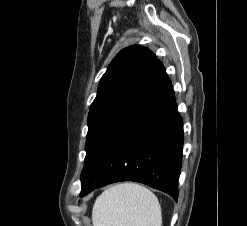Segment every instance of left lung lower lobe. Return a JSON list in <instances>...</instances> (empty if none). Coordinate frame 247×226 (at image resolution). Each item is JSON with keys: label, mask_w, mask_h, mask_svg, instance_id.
Segmentation results:
<instances>
[{"label": "left lung lower lobe", "mask_w": 247, "mask_h": 226, "mask_svg": "<svg viewBox=\"0 0 247 226\" xmlns=\"http://www.w3.org/2000/svg\"><path fill=\"white\" fill-rule=\"evenodd\" d=\"M182 147L183 121L156 60L87 153L80 197L109 183L136 181L177 201Z\"/></svg>", "instance_id": "0a47b994"}]
</instances>
